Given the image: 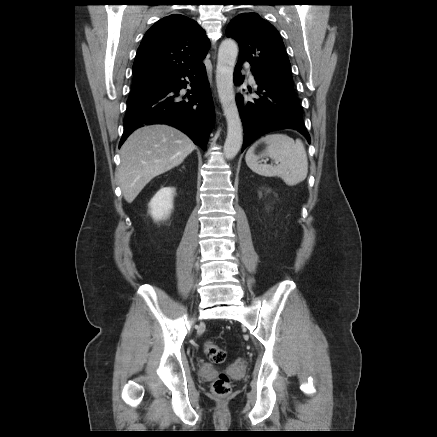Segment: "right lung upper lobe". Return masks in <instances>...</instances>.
Listing matches in <instances>:
<instances>
[{
  "label": "right lung upper lobe",
  "instance_id": "cb5924a9",
  "mask_svg": "<svg viewBox=\"0 0 437 437\" xmlns=\"http://www.w3.org/2000/svg\"><path fill=\"white\" fill-rule=\"evenodd\" d=\"M210 41L196 21L173 14L145 34L133 64V81L165 80L206 56Z\"/></svg>",
  "mask_w": 437,
  "mask_h": 437
}]
</instances>
